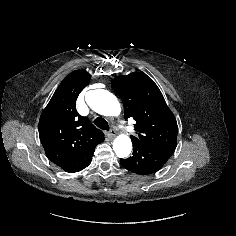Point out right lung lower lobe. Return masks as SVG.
I'll use <instances>...</instances> for the list:
<instances>
[{
  "label": "right lung lower lobe",
  "instance_id": "right-lung-lower-lobe-1",
  "mask_svg": "<svg viewBox=\"0 0 236 236\" xmlns=\"http://www.w3.org/2000/svg\"><path fill=\"white\" fill-rule=\"evenodd\" d=\"M94 149L95 147H92L81 155H79L78 157L61 163L58 166L69 173L81 171L91 163V158L93 156Z\"/></svg>",
  "mask_w": 236,
  "mask_h": 236
}]
</instances>
